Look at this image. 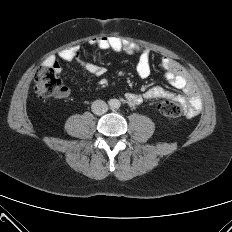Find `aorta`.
<instances>
[{
    "mask_svg": "<svg viewBox=\"0 0 232 232\" xmlns=\"http://www.w3.org/2000/svg\"><path fill=\"white\" fill-rule=\"evenodd\" d=\"M121 105L120 101L117 100V99H112L110 101V106L113 107V108H119Z\"/></svg>",
    "mask_w": 232,
    "mask_h": 232,
    "instance_id": "762f6f07",
    "label": "aorta"
}]
</instances>
